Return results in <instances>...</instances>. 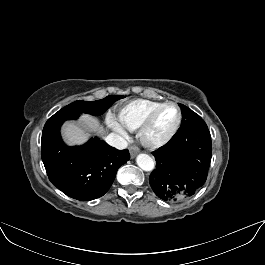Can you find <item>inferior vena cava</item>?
<instances>
[{"label": "inferior vena cava", "mask_w": 265, "mask_h": 265, "mask_svg": "<svg viewBox=\"0 0 265 265\" xmlns=\"http://www.w3.org/2000/svg\"><path fill=\"white\" fill-rule=\"evenodd\" d=\"M105 141L112 147H115L119 150L125 149L128 146L127 141L120 135L111 133L106 138Z\"/></svg>", "instance_id": "1"}]
</instances>
